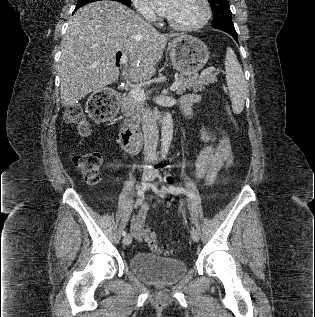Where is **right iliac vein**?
I'll return each mask as SVG.
<instances>
[{"label": "right iliac vein", "instance_id": "63e3f726", "mask_svg": "<svg viewBox=\"0 0 315 317\" xmlns=\"http://www.w3.org/2000/svg\"><path fill=\"white\" fill-rule=\"evenodd\" d=\"M153 176L148 173V172H145L143 177H142V188L145 190L147 189L149 186H150V182L152 180ZM132 242V236L130 234L126 235L123 239V244L124 245H129L130 243Z\"/></svg>", "mask_w": 315, "mask_h": 317}]
</instances>
